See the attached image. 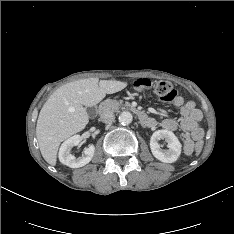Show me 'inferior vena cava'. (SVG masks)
I'll list each match as a JSON object with an SVG mask.
<instances>
[{"mask_svg":"<svg viewBox=\"0 0 234 234\" xmlns=\"http://www.w3.org/2000/svg\"><path fill=\"white\" fill-rule=\"evenodd\" d=\"M115 119V115L112 112H104L100 115V121L105 124H111Z\"/></svg>","mask_w":234,"mask_h":234,"instance_id":"1","label":"inferior vena cava"}]
</instances>
